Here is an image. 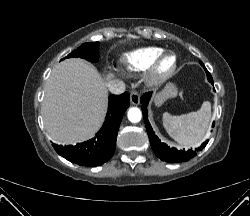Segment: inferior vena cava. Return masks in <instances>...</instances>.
Segmentation results:
<instances>
[{
    "mask_svg": "<svg viewBox=\"0 0 250 216\" xmlns=\"http://www.w3.org/2000/svg\"><path fill=\"white\" fill-rule=\"evenodd\" d=\"M107 89L116 95L122 94L125 91V84L119 80H111L106 84Z\"/></svg>",
    "mask_w": 250,
    "mask_h": 216,
    "instance_id": "1",
    "label": "inferior vena cava"
}]
</instances>
